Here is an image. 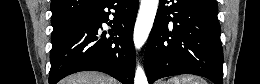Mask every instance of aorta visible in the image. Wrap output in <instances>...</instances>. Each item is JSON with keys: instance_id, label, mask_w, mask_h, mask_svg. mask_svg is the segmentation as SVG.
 <instances>
[{"instance_id": "aorta-1", "label": "aorta", "mask_w": 260, "mask_h": 84, "mask_svg": "<svg viewBox=\"0 0 260 84\" xmlns=\"http://www.w3.org/2000/svg\"><path fill=\"white\" fill-rule=\"evenodd\" d=\"M158 4L159 0H141L133 35L136 49H140L149 36L157 12ZM134 84H148L145 72L139 65L136 67Z\"/></svg>"}]
</instances>
